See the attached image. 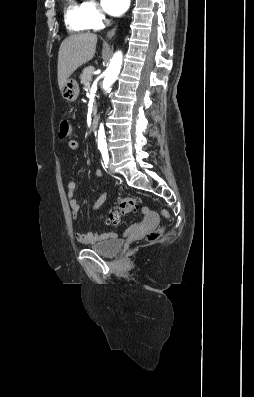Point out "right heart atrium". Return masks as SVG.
I'll use <instances>...</instances> for the list:
<instances>
[{"label":"right heart atrium","mask_w":254,"mask_h":397,"mask_svg":"<svg viewBox=\"0 0 254 397\" xmlns=\"http://www.w3.org/2000/svg\"><path fill=\"white\" fill-rule=\"evenodd\" d=\"M84 13L85 18L92 29H98L103 25L105 16L97 3L93 0H87L84 2Z\"/></svg>","instance_id":"1"}]
</instances>
